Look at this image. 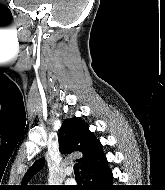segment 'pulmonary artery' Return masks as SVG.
Instances as JSON below:
<instances>
[{
  "label": "pulmonary artery",
  "mask_w": 165,
  "mask_h": 190,
  "mask_svg": "<svg viewBox=\"0 0 165 190\" xmlns=\"http://www.w3.org/2000/svg\"><path fill=\"white\" fill-rule=\"evenodd\" d=\"M71 173H72L71 170H68V171H67V175H68V176H71ZM74 182H75V180H74L72 177H69V178L66 180V183H68V184H73Z\"/></svg>",
  "instance_id": "pulmonary-artery-1"
}]
</instances>
